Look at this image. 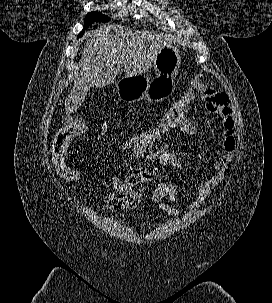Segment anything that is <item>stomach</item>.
<instances>
[{
	"instance_id": "stomach-1",
	"label": "stomach",
	"mask_w": 272,
	"mask_h": 303,
	"mask_svg": "<svg viewBox=\"0 0 272 303\" xmlns=\"http://www.w3.org/2000/svg\"><path fill=\"white\" fill-rule=\"evenodd\" d=\"M180 64L179 49L171 44L163 47L154 61L156 78L151 81L144 76L123 78L116 85L119 96L130 102L157 101L170 93L171 86L174 87Z\"/></svg>"
}]
</instances>
